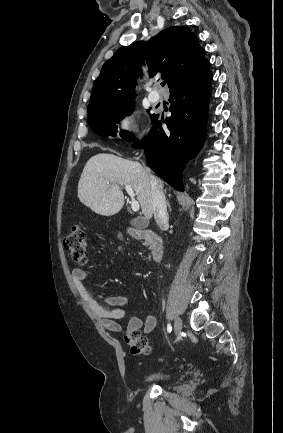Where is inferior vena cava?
Masks as SVG:
<instances>
[{
    "label": "inferior vena cava",
    "instance_id": "602c4592",
    "mask_svg": "<svg viewBox=\"0 0 283 433\" xmlns=\"http://www.w3.org/2000/svg\"><path fill=\"white\" fill-rule=\"evenodd\" d=\"M150 182H151V194L153 198L154 219L156 223H158V225H167L169 217L166 208L165 194L162 188H160L153 174H150Z\"/></svg>",
    "mask_w": 283,
    "mask_h": 433
}]
</instances>
